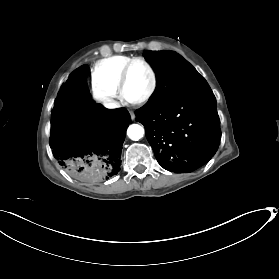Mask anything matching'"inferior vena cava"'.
<instances>
[{
    "instance_id": "1",
    "label": "inferior vena cava",
    "mask_w": 279,
    "mask_h": 279,
    "mask_svg": "<svg viewBox=\"0 0 279 279\" xmlns=\"http://www.w3.org/2000/svg\"><path fill=\"white\" fill-rule=\"evenodd\" d=\"M114 100H110L109 98L104 100V106L107 108H117L118 105Z\"/></svg>"
}]
</instances>
